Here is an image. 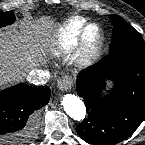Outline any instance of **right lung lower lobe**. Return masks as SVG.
<instances>
[{
	"label": "right lung lower lobe",
	"instance_id": "98d812e1",
	"mask_svg": "<svg viewBox=\"0 0 145 145\" xmlns=\"http://www.w3.org/2000/svg\"><path fill=\"white\" fill-rule=\"evenodd\" d=\"M47 86L30 87L23 83L0 91V139L21 143L35 131L33 113L48 103Z\"/></svg>",
	"mask_w": 145,
	"mask_h": 145
}]
</instances>
